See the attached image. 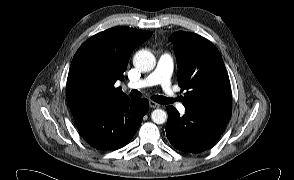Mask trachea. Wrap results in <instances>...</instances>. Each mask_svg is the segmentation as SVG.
<instances>
[{
	"label": "trachea",
	"mask_w": 294,
	"mask_h": 180,
	"mask_svg": "<svg viewBox=\"0 0 294 180\" xmlns=\"http://www.w3.org/2000/svg\"><path fill=\"white\" fill-rule=\"evenodd\" d=\"M141 96H142V94L138 90L133 89L130 92L131 98H139ZM151 99L159 104H170L172 102V100L170 98H167L165 96H160V95H153L151 97Z\"/></svg>",
	"instance_id": "trachea-1"
}]
</instances>
